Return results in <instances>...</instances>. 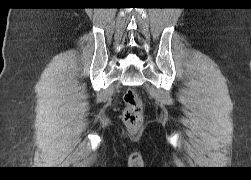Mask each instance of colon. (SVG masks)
Listing matches in <instances>:
<instances>
[{
    "mask_svg": "<svg viewBox=\"0 0 251 180\" xmlns=\"http://www.w3.org/2000/svg\"><path fill=\"white\" fill-rule=\"evenodd\" d=\"M122 119L131 130L140 128L143 122V102L139 94L129 89L124 95V109Z\"/></svg>",
    "mask_w": 251,
    "mask_h": 180,
    "instance_id": "5ec220e1",
    "label": "colon"
}]
</instances>
